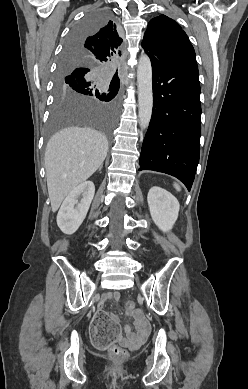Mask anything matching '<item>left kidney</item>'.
<instances>
[{"label": "left kidney", "instance_id": "left-kidney-1", "mask_svg": "<svg viewBox=\"0 0 248 389\" xmlns=\"http://www.w3.org/2000/svg\"><path fill=\"white\" fill-rule=\"evenodd\" d=\"M147 201L151 217L158 228L163 232L171 230L178 218V200L165 189L154 186L148 192Z\"/></svg>", "mask_w": 248, "mask_h": 389}]
</instances>
